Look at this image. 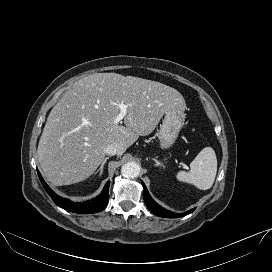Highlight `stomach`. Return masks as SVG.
Listing matches in <instances>:
<instances>
[{
	"mask_svg": "<svg viewBox=\"0 0 272 272\" xmlns=\"http://www.w3.org/2000/svg\"><path fill=\"white\" fill-rule=\"evenodd\" d=\"M185 113L181 109H171L165 112L164 119L157 133L162 149L170 148L176 141L184 125Z\"/></svg>",
	"mask_w": 272,
	"mask_h": 272,
	"instance_id": "stomach-1",
	"label": "stomach"
}]
</instances>
